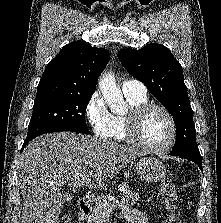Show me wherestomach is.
Here are the masks:
<instances>
[{
    "label": "stomach",
    "mask_w": 221,
    "mask_h": 223,
    "mask_svg": "<svg viewBox=\"0 0 221 223\" xmlns=\"http://www.w3.org/2000/svg\"><path fill=\"white\" fill-rule=\"evenodd\" d=\"M136 172L141 180L148 183H155L165 177L166 168L157 158L146 156L137 161Z\"/></svg>",
    "instance_id": "stomach-1"
}]
</instances>
